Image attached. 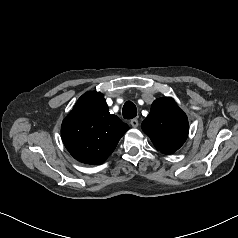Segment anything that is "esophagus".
I'll return each instance as SVG.
<instances>
[{"label": "esophagus", "instance_id": "obj_1", "mask_svg": "<svg viewBox=\"0 0 238 238\" xmlns=\"http://www.w3.org/2000/svg\"><path fill=\"white\" fill-rule=\"evenodd\" d=\"M130 124L133 128H137L138 125H139V122H138V119L137 118H134L130 121Z\"/></svg>", "mask_w": 238, "mask_h": 238}]
</instances>
